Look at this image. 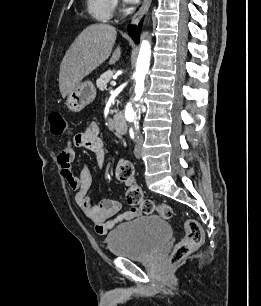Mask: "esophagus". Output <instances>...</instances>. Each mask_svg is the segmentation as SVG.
<instances>
[{"instance_id": "esophagus-1", "label": "esophagus", "mask_w": 261, "mask_h": 306, "mask_svg": "<svg viewBox=\"0 0 261 306\" xmlns=\"http://www.w3.org/2000/svg\"><path fill=\"white\" fill-rule=\"evenodd\" d=\"M152 0H143L142 5L138 11L134 14L131 20V24L138 25L144 14L147 12Z\"/></svg>"}]
</instances>
